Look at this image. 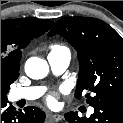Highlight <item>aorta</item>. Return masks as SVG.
<instances>
[{
  "instance_id": "aorta-1",
  "label": "aorta",
  "mask_w": 123,
  "mask_h": 123,
  "mask_svg": "<svg viewBox=\"0 0 123 123\" xmlns=\"http://www.w3.org/2000/svg\"><path fill=\"white\" fill-rule=\"evenodd\" d=\"M25 72L32 79H42L47 76L49 66L46 60L31 57L25 63Z\"/></svg>"
}]
</instances>
